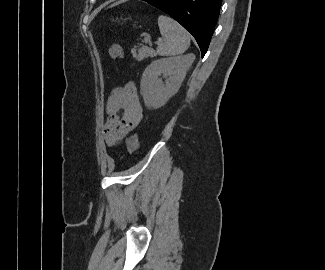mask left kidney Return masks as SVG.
<instances>
[{
  "label": "left kidney",
  "mask_w": 325,
  "mask_h": 270,
  "mask_svg": "<svg viewBox=\"0 0 325 270\" xmlns=\"http://www.w3.org/2000/svg\"><path fill=\"white\" fill-rule=\"evenodd\" d=\"M194 59V54H187L162 58L147 66L142 75L140 88L144 103L149 109L164 106L178 92ZM161 75L168 79L163 82Z\"/></svg>",
  "instance_id": "obj_1"
}]
</instances>
